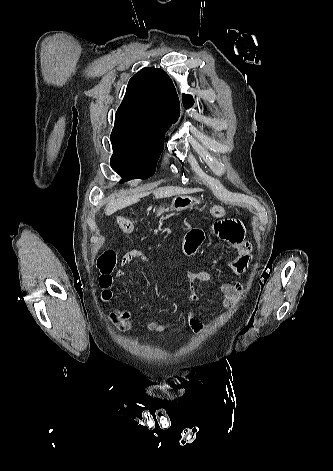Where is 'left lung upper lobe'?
<instances>
[{"mask_svg": "<svg viewBox=\"0 0 333 471\" xmlns=\"http://www.w3.org/2000/svg\"><path fill=\"white\" fill-rule=\"evenodd\" d=\"M183 104L185 108H190L193 104V98L191 95H183Z\"/></svg>", "mask_w": 333, "mask_h": 471, "instance_id": "obj_1", "label": "left lung upper lobe"}]
</instances>
